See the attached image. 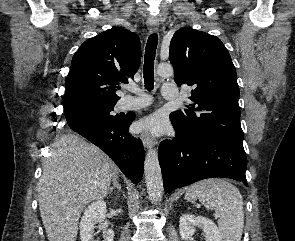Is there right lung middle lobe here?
Returning a JSON list of instances; mask_svg holds the SVG:
<instances>
[{
    "label": "right lung middle lobe",
    "instance_id": "obj_1",
    "mask_svg": "<svg viewBox=\"0 0 295 241\" xmlns=\"http://www.w3.org/2000/svg\"><path fill=\"white\" fill-rule=\"evenodd\" d=\"M115 104H105L85 107L65 113L67 123H75L85 119H107L112 121H122L126 116L123 114H114Z\"/></svg>",
    "mask_w": 295,
    "mask_h": 241
}]
</instances>
